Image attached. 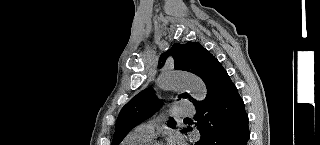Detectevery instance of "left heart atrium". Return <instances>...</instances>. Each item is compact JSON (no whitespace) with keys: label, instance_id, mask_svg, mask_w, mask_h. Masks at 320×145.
<instances>
[{"label":"left heart atrium","instance_id":"left-heart-atrium-1","mask_svg":"<svg viewBox=\"0 0 320 145\" xmlns=\"http://www.w3.org/2000/svg\"><path fill=\"white\" fill-rule=\"evenodd\" d=\"M170 145H183V140L179 135H173L170 139Z\"/></svg>","mask_w":320,"mask_h":145}]
</instances>
